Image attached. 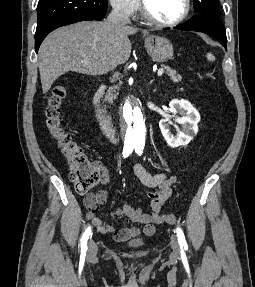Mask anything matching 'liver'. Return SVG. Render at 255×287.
I'll return each instance as SVG.
<instances>
[{"mask_svg":"<svg viewBox=\"0 0 255 287\" xmlns=\"http://www.w3.org/2000/svg\"><path fill=\"white\" fill-rule=\"evenodd\" d=\"M137 32L138 28L126 24L115 28L107 22H78L55 30L45 38L39 50L43 94L66 72L102 76L125 64L132 50L128 36ZM86 60L88 64H84Z\"/></svg>","mask_w":255,"mask_h":287,"instance_id":"obj_1","label":"liver"}]
</instances>
